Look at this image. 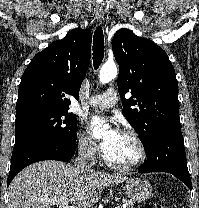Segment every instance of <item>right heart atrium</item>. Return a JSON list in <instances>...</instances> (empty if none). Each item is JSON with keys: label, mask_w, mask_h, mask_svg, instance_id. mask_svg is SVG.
I'll use <instances>...</instances> for the list:
<instances>
[{"label": "right heart atrium", "mask_w": 199, "mask_h": 208, "mask_svg": "<svg viewBox=\"0 0 199 208\" xmlns=\"http://www.w3.org/2000/svg\"><path fill=\"white\" fill-rule=\"evenodd\" d=\"M76 145L78 151L89 160H95L100 154L97 143L84 131H78Z\"/></svg>", "instance_id": "d8ad5b80"}]
</instances>
